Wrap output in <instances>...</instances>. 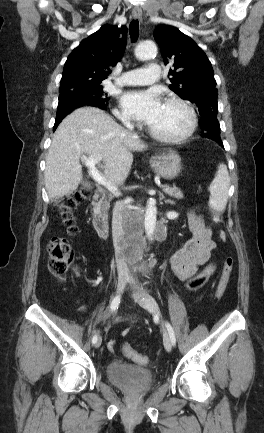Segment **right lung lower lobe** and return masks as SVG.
<instances>
[{"mask_svg":"<svg viewBox=\"0 0 264 433\" xmlns=\"http://www.w3.org/2000/svg\"><path fill=\"white\" fill-rule=\"evenodd\" d=\"M82 106H94V107H99V108H101V109H105V106H101V105H99V104H97V103H94V102L85 103V104H83V105H80L79 107H82ZM77 108H78V107H77ZM63 118H64V117L56 118V120H55V125H54V131H55V129L57 128V126L59 125V123L62 121Z\"/></svg>","mask_w":264,"mask_h":433,"instance_id":"1","label":"right lung lower lobe"}]
</instances>
